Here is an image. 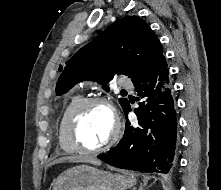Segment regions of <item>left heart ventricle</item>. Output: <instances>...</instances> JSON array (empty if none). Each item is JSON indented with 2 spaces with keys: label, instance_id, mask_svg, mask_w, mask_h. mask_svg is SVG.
<instances>
[{
  "label": "left heart ventricle",
  "instance_id": "left-heart-ventricle-1",
  "mask_svg": "<svg viewBox=\"0 0 221 190\" xmlns=\"http://www.w3.org/2000/svg\"><path fill=\"white\" fill-rule=\"evenodd\" d=\"M113 128L111 111L105 105L96 104L89 107L82 116L79 136L85 146L94 148L109 140Z\"/></svg>",
  "mask_w": 221,
  "mask_h": 190
}]
</instances>
